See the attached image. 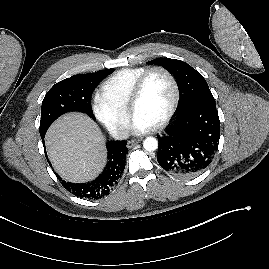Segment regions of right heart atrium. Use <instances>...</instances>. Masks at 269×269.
Returning <instances> with one entry per match:
<instances>
[{
    "instance_id": "right-heart-atrium-1",
    "label": "right heart atrium",
    "mask_w": 269,
    "mask_h": 269,
    "mask_svg": "<svg viewBox=\"0 0 269 269\" xmlns=\"http://www.w3.org/2000/svg\"><path fill=\"white\" fill-rule=\"evenodd\" d=\"M92 110L96 118L114 135L124 136L129 126L128 111L110 102L102 93L92 99Z\"/></svg>"
}]
</instances>
